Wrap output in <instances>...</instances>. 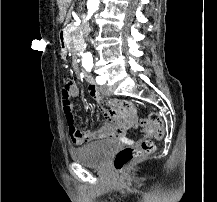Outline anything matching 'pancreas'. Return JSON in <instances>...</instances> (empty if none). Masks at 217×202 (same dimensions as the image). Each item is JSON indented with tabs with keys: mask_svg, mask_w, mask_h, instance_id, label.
Here are the masks:
<instances>
[{
	"mask_svg": "<svg viewBox=\"0 0 217 202\" xmlns=\"http://www.w3.org/2000/svg\"><path fill=\"white\" fill-rule=\"evenodd\" d=\"M75 27L76 26L73 24L71 26H68L66 29L69 31L71 28L74 29ZM68 42L69 48H71V50H74V52H77L78 44H82L83 42V34L80 28H77V30H73V32L69 34Z\"/></svg>",
	"mask_w": 217,
	"mask_h": 202,
	"instance_id": "cf45deb5",
	"label": "pancreas"
}]
</instances>
